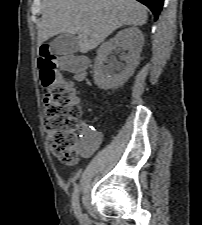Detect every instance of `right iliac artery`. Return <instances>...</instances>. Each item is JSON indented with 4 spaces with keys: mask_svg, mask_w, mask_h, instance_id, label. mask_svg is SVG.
Listing matches in <instances>:
<instances>
[{
    "mask_svg": "<svg viewBox=\"0 0 202 225\" xmlns=\"http://www.w3.org/2000/svg\"><path fill=\"white\" fill-rule=\"evenodd\" d=\"M72 205L76 216L78 218H81V208L79 204V186L77 184L74 187V192L72 196Z\"/></svg>",
    "mask_w": 202,
    "mask_h": 225,
    "instance_id": "right-iliac-artery-1",
    "label": "right iliac artery"
}]
</instances>
